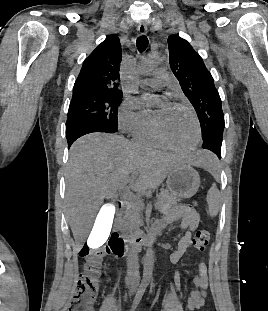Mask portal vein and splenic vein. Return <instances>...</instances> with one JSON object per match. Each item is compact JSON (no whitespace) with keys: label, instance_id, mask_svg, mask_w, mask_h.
Segmentation results:
<instances>
[{"label":"portal vein and splenic vein","instance_id":"18ae733b","mask_svg":"<svg viewBox=\"0 0 268 311\" xmlns=\"http://www.w3.org/2000/svg\"><path fill=\"white\" fill-rule=\"evenodd\" d=\"M129 181H130L129 178L125 179V180L122 182L121 187L124 189V186H125ZM130 196H131V195H130L129 191L124 190V198L130 197Z\"/></svg>","mask_w":268,"mask_h":311}]
</instances>
